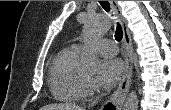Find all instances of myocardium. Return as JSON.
Masks as SVG:
<instances>
[{
  "label": "myocardium",
  "instance_id": "1",
  "mask_svg": "<svg viewBox=\"0 0 171 110\" xmlns=\"http://www.w3.org/2000/svg\"><path fill=\"white\" fill-rule=\"evenodd\" d=\"M79 86L85 97L95 96V90L93 88V85L86 82L80 75H79Z\"/></svg>",
  "mask_w": 171,
  "mask_h": 110
}]
</instances>
